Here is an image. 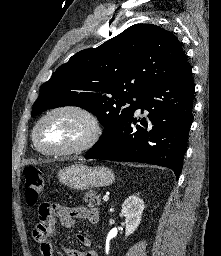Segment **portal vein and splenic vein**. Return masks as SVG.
Instances as JSON below:
<instances>
[{
    "label": "portal vein and splenic vein",
    "instance_id": "obj_1",
    "mask_svg": "<svg viewBox=\"0 0 221 256\" xmlns=\"http://www.w3.org/2000/svg\"><path fill=\"white\" fill-rule=\"evenodd\" d=\"M109 200V196L108 195H104L103 196V201H108Z\"/></svg>",
    "mask_w": 221,
    "mask_h": 256
}]
</instances>
